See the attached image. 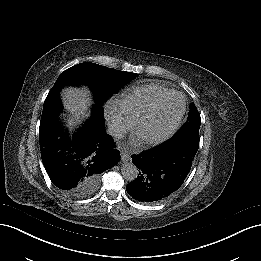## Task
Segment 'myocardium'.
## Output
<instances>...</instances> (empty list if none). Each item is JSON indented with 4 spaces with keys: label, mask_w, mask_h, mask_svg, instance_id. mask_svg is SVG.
<instances>
[{
    "label": "myocardium",
    "mask_w": 261,
    "mask_h": 261,
    "mask_svg": "<svg viewBox=\"0 0 261 261\" xmlns=\"http://www.w3.org/2000/svg\"><path fill=\"white\" fill-rule=\"evenodd\" d=\"M175 97H180L182 99V102H183L182 110H181L180 115L178 116L177 120L167 130H165L164 132H162V133H160V134H158L156 136L146 137V136L140 135L139 134V127L141 125V122L148 115L153 114V113L159 111L160 109H162L171 99H173ZM185 112H186V98H185V96L182 93H180V92H173L168 97H166L162 102H160V104L153 111L142 115L134 123V126L132 128V139H133V142L137 146H143V145L158 144V143H161V142L167 140L179 128V126H180V124H181V122L183 120V117L185 115Z\"/></svg>",
    "instance_id": "obj_1"
}]
</instances>
